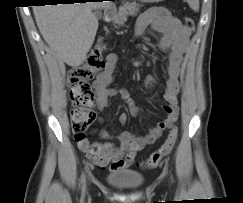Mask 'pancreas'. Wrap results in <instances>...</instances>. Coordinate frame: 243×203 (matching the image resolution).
<instances>
[{"mask_svg":"<svg viewBox=\"0 0 243 203\" xmlns=\"http://www.w3.org/2000/svg\"><path fill=\"white\" fill-rule=\"evenodd\" d=\"M140 5L133 2V3H125L123 6L119 7L118 12L115 13L113 17V22L119 26L123 25L124 22L127 20V16H136L139 12Z\"/></svg>","mask_w":243,"mask_h":203,"instance_id":"obj_1","label":"pancreas"}]
</instances>
